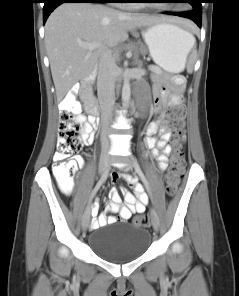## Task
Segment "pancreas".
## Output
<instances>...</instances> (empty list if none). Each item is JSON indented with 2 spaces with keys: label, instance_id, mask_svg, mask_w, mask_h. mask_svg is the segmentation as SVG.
I'll return each mask as SVG.
<instances>
[{
  "label": "pancreas",
  "instance_id": "cf45deb5",
  "mask_svg": "<svg viewBox=\"0 0 239 296\" xmlns=\"http://www.w3.org/2000/svg\"><path fill=\"white\" fill-rule=\"evenodd\" d=\"M154 68V73L152 76L153 78H159L160 76L163 75V71L161 70V68L157 67V66H152Z\"/></svg>",
  "mask_w": 239,
  "mask_h": 296
}]
</instances>
